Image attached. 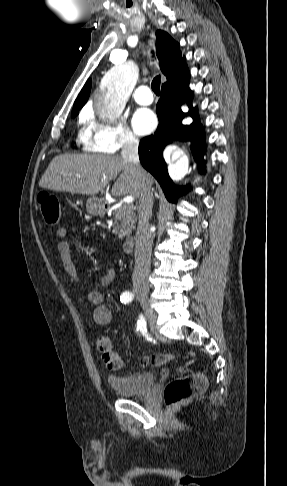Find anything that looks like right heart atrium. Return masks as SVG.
I'll list each match as a JSON object with an SVG mask.
<instances>
[{
	"mask_svg": "<svg viewBox=\"0 0 287 486\" xmlns=\"http://www.w3.org/2000/svg\"><path fill=\"white\" fill-rule=\"evenodd\" d=\"M87 125L84 147L90 152L114 154L138 146V139L124 121L100 122L91 111L83 116Z\"/></svg>",
	"mask_w": 287,
	"mask_h": 486,
	"instance_id": "d8ad5b80",
	"label": "right heart atrium"
}]
</instances>
